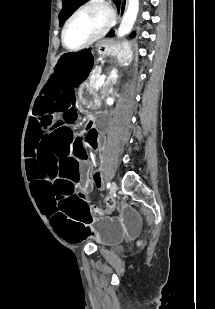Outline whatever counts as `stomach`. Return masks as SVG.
I'll use <instances>...</instances> for the list:
<instances>
[{
    "instance_id": "0dacf381",
    "label": "stomach",
    "mask_w": 215,
    "mask_h": 309,
    "mask_svg": "<svg viewBox=\"0 0 215 309\" xmlns=\"http://www.w3.org/2000/svg\"><path fill=\"white\" fill-rule=\"evenodd\" d=\"M97 51L100 56H110L122 64L128 62L133 54L131 43L127 40L122 42H115L112 40L101 41L97 45ZM80 95L89 102L98 100L97 90L93 88L90 83L83 85Z\"/></svg>"
}]
</instances>
